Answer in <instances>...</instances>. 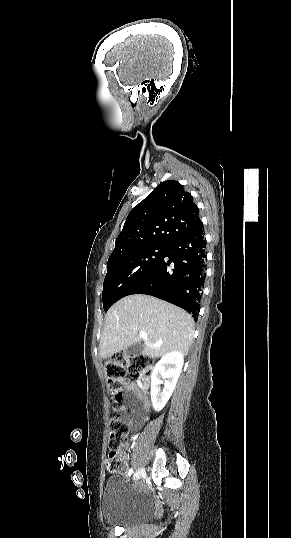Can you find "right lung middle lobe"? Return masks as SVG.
I'll return each mask as SVG.
<instances>
[{
    "label": "right lung middle lobe",
    "instance_id": "dd1d6c3e",
    "mask_svg": "<svg viewBox=\"0 0 291 538\" xmlns=\"http://www.w3.org/2000/svg\"><path fill=\"white\" fill-rule=\"evenodd\" d=\"M167 248L168 245L146 246L108 259L102 293L104 310L130 295L163 258Z\"/></svg>",
    "mask_w": 291,
    "mask_h": 538
}]
</instances>
